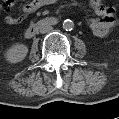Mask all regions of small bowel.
<instances>
[{"label":"small bowel","instance_id":"obj_1","mask_svg":"<svg viewBox=\"0 0 119 119\" xmlns=\"http://www.w3.org/2000/svg\"><path fill=\"white\" fill-rule=\"evenodd\" d=\"M55 0H32L26 2L22 6L23 15L21 16H12L7 15L5 17V22L8 25H16L22 22L25 15L34 13L38 9L51 5ZM15 4L14 0H6L4 6L7 8L13 7ZM91 7L98 15V18H93L89 21V27L92 33L97 37H106L111 29L116 23V14L115 9L112 6L104 5L100 0H92L90 2Z\"/></svg>","mask_w":119,"mask_h":119}]
</instances>
